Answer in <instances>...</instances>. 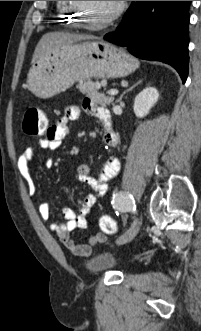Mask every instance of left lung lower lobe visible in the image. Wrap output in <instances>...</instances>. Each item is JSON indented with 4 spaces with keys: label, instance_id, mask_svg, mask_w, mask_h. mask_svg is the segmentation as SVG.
<instances>
[{
    "label": "left lung lower lobe",
    "instance_id": "obj_1",
    "mask_svg": "<svg viewBox=\"0 0 201 331\" xmlns=\"http://www.w3.org/2000/svg\"><path fill=\"white\" fill-rule=\"evenodd\" d=\"M191 1H136L121 24L104 39L136 57L173 66L183 83L188 75V23Z\"/></svg>",
    "mask_w": 201,
    "mask_h": 331
}]
</instances>
